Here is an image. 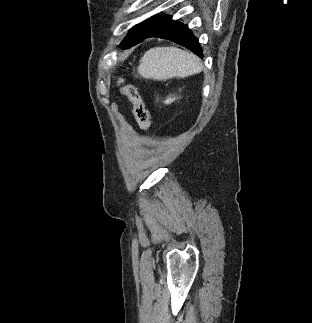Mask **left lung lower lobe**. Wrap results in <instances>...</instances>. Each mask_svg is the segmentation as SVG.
<instances>
[{"instance_id":"0a47b994","label":"left lung lower lobe","mask_w":312,"mask_h":323,"mask_svg":"<svg viewBox=\"0 0 312 323\" xmlns=\"http://www.w3.org/2000/svg\"><path fill=\"white\" fill-rule=\"evenodd\" d=\"M149 37H158L174 41L188 48L199 57H203L202 48L192 31L187 25L171 20V16H167L155 24L143 39Z\"/></svg>"}]
</instances>
